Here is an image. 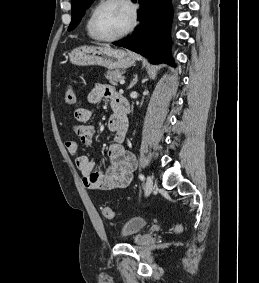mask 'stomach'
I'll return each instance as SVG.
<instances>
[{
  "mask_svg": "<svg viewBox=\"0 0 259 283\" xmlns=\"http://www.w3.org/2000/svg\"><path fill=\"white\" fill-rule=\"evenodd\" d=\"M69 57L75 65H98L108 69L128 68L135 63L131 52L109 46H81L74 49Z\"/></svg>",
  "mask_w": 259,
  "mask_h": 283,
  "instance_id": "obj_1",
  "label": "stomach"
}]
</instances>
